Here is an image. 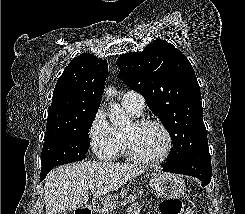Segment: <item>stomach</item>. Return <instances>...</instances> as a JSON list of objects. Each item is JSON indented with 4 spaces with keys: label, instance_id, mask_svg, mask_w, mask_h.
<instances>
[{
    "label": "stomach",
    "instance_id": "stomach-1",
    "mask_svg": "<svg viewBox=\"0 0 245 214\" xmlns=\"http://www.w3.org/2000/svg\"><path fill=\"white\" fill-rule=\"evenodd\" d=\"M158 196L165 199H177L184 195L186 185L180 176L172 173H160L153 176L149 183ZM127 189H122L120 195L124 197L127 194ZM118 204V196H113L107 199L106 205L113 209Z\"/></svg>",
    "mask_w": 245,
    "mask_h": 214
}]
</instances>
